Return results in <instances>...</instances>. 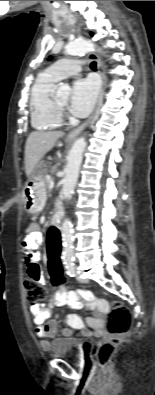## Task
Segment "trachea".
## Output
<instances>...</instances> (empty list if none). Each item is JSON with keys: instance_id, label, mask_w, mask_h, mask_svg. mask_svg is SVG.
Instances as JSON below:
<instances>
[{"instance_id": "obj_1", "label": "trachea", "mask_w": 155, "mask_h": 395, "mask_svg": "<svg viewBox=\"0 0 155 395\" xmlns=\"http://www.w3.org/2000/svg\"><path fill=\"white\" fill-rule=\"evenodd\" d=\"M91 69L96 70V62L90 64Z\"/></svg>"}]
</instances>
